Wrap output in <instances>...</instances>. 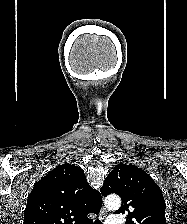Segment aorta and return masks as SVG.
<instances>
[{
	"mask_svg": "<svg viewBox=\"0 0 187 224\" xmlns=\"http://www.w3.org/2000/svg\"><path fill=\"white\" fill-rule=\"evenodd\" d=\"M105 206L109 210H117L121 206V199L116 195L108 196L105 199Z\"/></svg>",
	"mask_w": 187,
	"mask_h": 224,
	"instance_id": "1",
	"label": "aorta"
}]
</instances>
